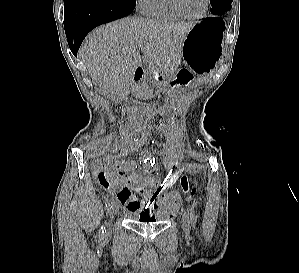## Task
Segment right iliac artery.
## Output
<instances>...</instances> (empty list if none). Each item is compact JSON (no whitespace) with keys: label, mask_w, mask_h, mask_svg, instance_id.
<instances>
[{"label":"right iliac artery","mask_w":299,"mask_h":273,"mask_svg":"<svg viewBox=\"0 0 299 273\" xmlns=\"http://www.w3.org/2000/svg\"><path fill=\"white\" fill-rule=\"evenodd\" d=\"M114 203V201H113V199H107L106 200V204H105V206H106V209L108 210L111 206H112V204ZM103 234H104V228L103 227H101V230H100V232H99V235L100 236H103Z\"/></svg>","instance_id":"1"}]
</instances>
